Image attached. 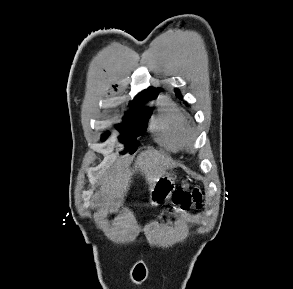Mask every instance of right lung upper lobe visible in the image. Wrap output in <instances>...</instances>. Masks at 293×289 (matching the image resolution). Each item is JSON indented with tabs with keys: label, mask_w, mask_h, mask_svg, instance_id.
I'll return each instance as SVG.
<instances>
[{
	"label": "right lung upper lobe",
	"mask_w": 293,
	"mask_h": 289,
	"mask_svg": "<svg viewBox=\"0 0 293 289\" xmlns=\"http://www.w3.org/2000/svg\"><path fill=\"white\" fill-rule=\"evenodd\" d=\"M159 92V89H154L153 87H150L148 90L142 92L139 94L133 103L145 101L147 98L151 97L152 95H156Z\"/></svg>",
	"instance_id": "1"
}]
</instances>
